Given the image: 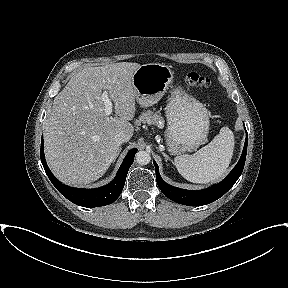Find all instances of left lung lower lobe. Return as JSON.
I'll return each mask as SVG.
<instances>
[{"label":"left lung lower lobe","instance_id":"0a47b994","mask_svg":"<svg viewBox=\"0 0 288 288\" xmlns=\"http://www.w3.org/2000/svg\"><path fill=\"white\" fill-rule=\"evenodd\" d=\"M247 142L248 137L246 136L241 158L229 175L219 184L204 190H185L165 183L159 174V167L157 163L153 161L156 170V181L160 190L169 199L187 206H202L214 202L222 197L240 177L246 160Z\"/></svg>","mask_w":288,"mask_h":288}]
</instances>
